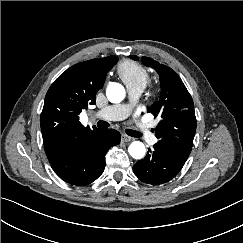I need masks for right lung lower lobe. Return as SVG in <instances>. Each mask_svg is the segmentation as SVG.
I'll list each match as a JSON object with an SVG mask.
<instances>
[{"mask_svg":"<svg viewBox=\"0 0 243 243\" xmlns=\"http://www.w3.org/2000/svg\"><path fill=\"white\" fill-rule=\"evenodd\" d=\"M119 142L118 131L99 129L68 143L45 148V151L60 178L73 185H86L103 173L107 150Z\"/></svg>","mask_w":243,"mask_h":243,"instance_id":"right-lung-lower-lobe-1","label":"right lung lower lobe"}]
</instances>
